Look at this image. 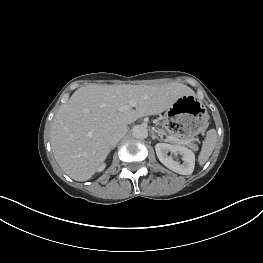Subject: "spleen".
Wrapping results in <instances>:
<instances>
[{
    "label": "spleen",
    "mask_w": 263,
    "mask_h": 263,
    "mask_svg": "<svg viewBox=\"0 0 263 263\" xmlns=\"http://www.w3.org/2000/svg\"><path fill=\"white\" fill-rule=\"evenodd\" d=\"M217 141V133L214 129L207 132L206 140L202 145L201 152L198 157V162L200 165H204L209 157L211 156L213 150L215 149Z\"/></svg>",
    "instance_id": "spleen-1"
}]
</instances>
